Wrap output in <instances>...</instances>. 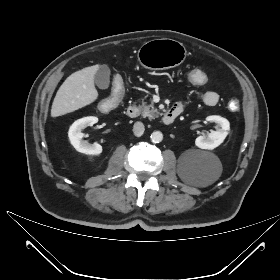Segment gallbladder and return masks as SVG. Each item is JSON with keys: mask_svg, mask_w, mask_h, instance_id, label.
<instances>
[{"mask_svg": "<svg viewBox=\"0 0 280 280\" xmlns=\"http://www.w3.org/2000/svg\"><path fill=\"white\" fill-rule=\"evenodd\" d=\"M94 82L100 89H107L110 85V69L107 65H100L94 75Z\"/></svg>", "mask_w": 280, "mask_h": 280, "instance_id": "1", "label": "gallbladder"}]
</instances>
